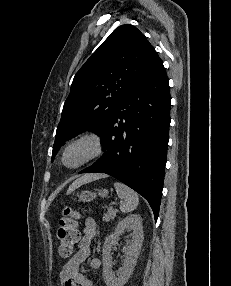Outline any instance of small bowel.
I'll return each instance as SVG.
<instances>
[{"mask_svg":"<svg viewBox=\"0 0 231 286\" xmlns=\"http://www.w3.org/2000/svg\"><path fill=\"white\" fill-rule=\"evenodd\" d=\"M97 231V223L93 218L84 221L83 236L79 241L78 251L68 260L60 271L59 279L61 286H95V283L80 272L81 264L90 255V244ZM101 266L99 258L90 260L92 270Z\"/></svg>","mask_w":231,"mask_h":286,"instance_id":"1","label":"small bowel"}]
</instances>
